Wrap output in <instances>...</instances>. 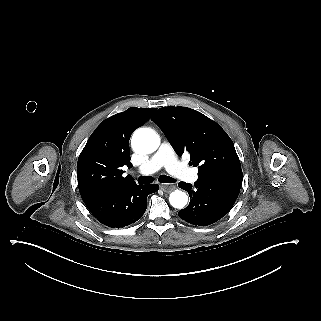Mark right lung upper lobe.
<instances>
[{
    "label": "right lung upper lobe",
    "mask_w": 321,
    "mask_h": 321,
    "mask_svg": "<svg viewBox=\"0 0 321 321\" xmlns=\"http://www.w3.org/2000/svg\"><path fill=\"white\" fill-rule=\"evenodd\" d=\"M155 109L131 107L104 120L92 133L77 162L78 187L83 200L136 184L123 166L132 167L129 140Z\"/></svg>",
    "instance_id": "right-lung-upper-lobe-1"
}]
</instances>
